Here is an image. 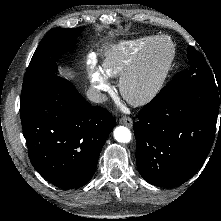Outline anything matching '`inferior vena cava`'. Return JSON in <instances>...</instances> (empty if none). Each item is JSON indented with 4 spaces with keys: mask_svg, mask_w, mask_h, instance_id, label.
Wrapping results in <instances>:
<instances>
[{
    "mask_svg": "<svg viewBox=\"0 0 221 221\" xmlns=\"http://www.w3.org/2000/svg\"><path fill=\"white\" fill-rule=\"evenodd\" d=\"M86 95L90 101L95 103H103L107 100V96L96 89H89Z\"/></svg>",
    "mask_w": 221,
    "mask_h": 221,
    "instance_id": "obj_1",
    "label": "inferior vena cava"
}]
</instances>
